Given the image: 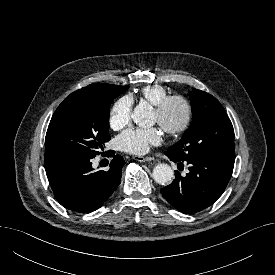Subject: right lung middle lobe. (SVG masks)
I'll list each match as a JSON object with an SVG mask.
<instances>
[{
    "label": "right lung middle lobe",
    "instance_id": "1",
    "mask_svg": "<svg viewBox=\"0 0 275 275\" xmlns=\"http://www.w3.org/2000/svg\"><path fill=\"white\" fill-rule=\"evenodd\" d=\"M128 89L118 86L63 101L54 112L45 138V157L74 155L94 158L110 140L109 113L114 98Z\"/></svg>",
    "mask_w": 275,
    "mask_h": 275
}]
</instances>
